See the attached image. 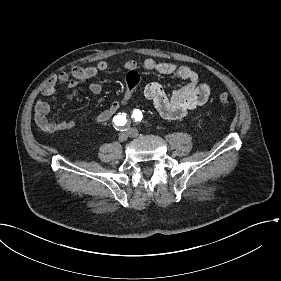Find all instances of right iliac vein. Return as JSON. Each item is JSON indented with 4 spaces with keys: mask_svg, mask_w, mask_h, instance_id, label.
I'll use <instances>...</instances> for the list:
<instances>
[{
    "mask_svg": "<svg viewBox=\"0 0 281 281\" xmlns=\"http://www.w3.org/2000/svg\"><path fill=\"white\" fill-rule=\"evenodd\" d=\"M128 136H129L128 130L122 131V132L118 135V140H119L120 142H124V141L127 140Z\"/></svg>",
    "mask_w": 281,
    "mask_h": 281,
    "instance_id": "63e3f726",
    "label": "right iliac vein"
}]
</instances>
